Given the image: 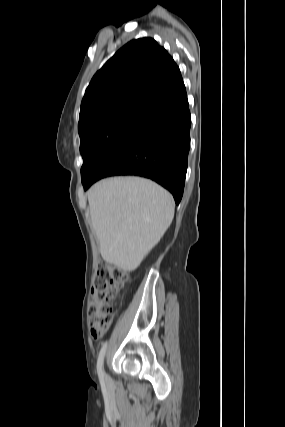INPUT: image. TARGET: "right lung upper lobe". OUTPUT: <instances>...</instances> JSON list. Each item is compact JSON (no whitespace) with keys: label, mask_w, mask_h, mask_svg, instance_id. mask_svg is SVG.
I'll return each mask as SVG.
<instances>
[{"label":"right lung upper lobe","mask_w":285,"mask_h":427,"mask_svg":"<svg viewBox=\"0 0 285 427\" xmlns=\"http://www.w3.org/2000/svg\"><path fill=\"white\" fill-rule=\"evenodd\" d=\"M182 79L168 52L152 38L132 40L93 76L81 103L78 129L127 106H142Z\"/></svg>","instance_id":"1"}]
</instances>
